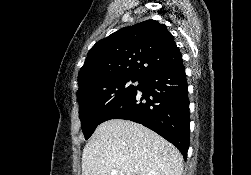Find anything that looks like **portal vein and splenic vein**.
<instances>
[{"mask_svg": "<svg viewBox=\"0 0 251 175\" xmlns=\"http://www.w3.org/2000/svg\"><path fill=\"white\" fill-rule=\"evenodd\" d=\"M111 173H112V175H116V173H117L116 169H111ZM142 175H144V173H142Z\"/></svg>", "mask_w": 251, "mask_h": 175, "instance_id": "1", "label": "portal vein and splenic vein"}]
</instances>
